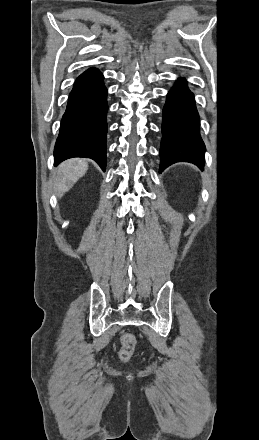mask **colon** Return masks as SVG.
<instances>
[{
    "instance_id": "5ec220e1",
    "label": "colon",
    "mask_w": 259,
    "mask_h": 440,
    "mask_svg": "<svg viewBox=\"0 0 259 440\" xmlns=\"http://www.w3.org/2000/svg\"><path fill=\"white\" fill-rule=\"evenodd\" d=\"M136 345V338L131 333H124L120 338V350L118 357L121 362H128L133 354Z\"/></svg>"
}]
</instances>
